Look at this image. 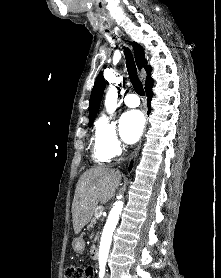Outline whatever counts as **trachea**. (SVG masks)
<instances>
[{
  "label": "trachea",
  "instance_id": "1",
  "mask_svg": "<svg viewBox=\"0 0 221 278\" xmlns=\"http://www.w3.org/2000/svg\"><path fill=\"white\" fill-rule=\"evenodd\" d=\"M124 55H125V59H126L127 71L129 74V78L132 82V85H133L135 91L137 92V94H139L140 96H144L145 95L144 88H143L142 82L138 78L137 68H136L132 53L128 48H124Z\"/></svg>",
  "mask_w": 221,
  "mask_h": 278
}]
</instances>
